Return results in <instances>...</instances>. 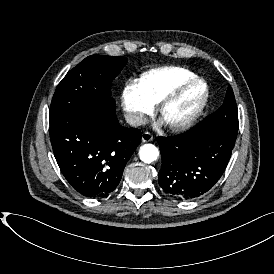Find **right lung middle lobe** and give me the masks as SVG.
Masks as SVG:
<instances>
[{
    "label": "right lung middle lobe",
    "instance_id": "dd1d6c3e",
    "mask_svg": "<svg viewBox=\"0 0 274 274\" xmlns=\"http://www.w3.org/2000/svg\"><path fill=\"white\" fill-rule=\"evenodd\" d=\"M126 63L122 56L92 55L70 70L53 95L50 124L81 112L115 110L110 85Z\"/></svg>",
    "mask_w": 274,
    "mask_h": 274
}]
</instances>
